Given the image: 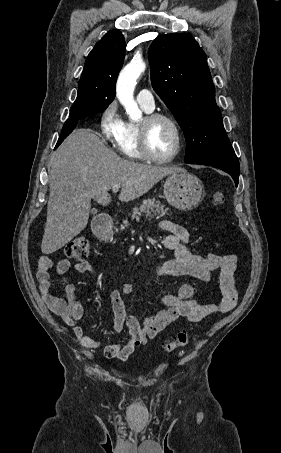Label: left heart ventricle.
Segmentation results:
<instances>
[{
	"label": "left heart ventricle",
	"instance_id": "obj_1",
	"mask_svg": "<svg viewBox=\"0 0 281 453\" xmlns=\"http://www.w3.org/2000/svg\"><path fill=\"white\" fill-rule=\"evenodd\" d=\"M175 142L172 128L165 122H158L151 130L150 143L154 154L167 157L171 154Z\"/></svg>",
	"mask_w": 281,
	"mask_h": 453
}]
</instances>
